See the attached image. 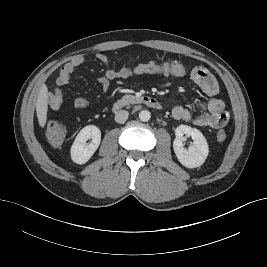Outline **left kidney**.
Wrapping results in <instances>:
<instances>
[{"label": "left kidney", "mask_w": 267, "mask_h": 267, "mask_svg": "<svg viewBox=\"0 0 267 267\" xmlns=\"http://www.w3.org/2000/svg\"><path fill=\"white\" fill-rule=\"evenodd\" d=\"M175 135L173 149L178 161L186 168L200 167L209 153V147L203 134L196 128L179 125L175 130ZM185 136H190L193 140L188 149L183 147Z\"/></svg>", "instance_id": "1"}]
</instances>
